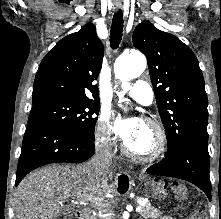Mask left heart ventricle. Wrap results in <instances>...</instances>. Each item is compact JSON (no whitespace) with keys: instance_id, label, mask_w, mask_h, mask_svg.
I'll return each mask as SVG.
<instances>
[{"instance_id":"b2bd125f","label":"left heart ventricle","mask_w":221,"mask_h":219,"mask_svg":"<svg viewBox=\"0 0 221 219\" xmlns=\"http://www.w3.org/2000/svg\"><path fill=\"white\" fill-rule=\"evenodd\" d=\"M125 142L132 151L139 154H148L155 147L156 136L153 130L140 122L137 131Z\"/></svg>"}]
</instances>
